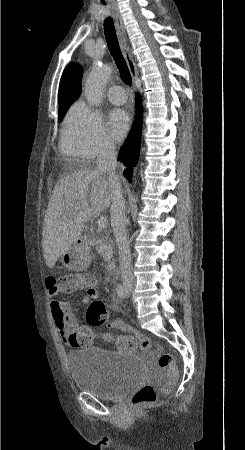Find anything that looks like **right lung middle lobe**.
Returning a JSON list of instances; mask_svg holds the SVG:
<instances>
[{"mask_svg":"<svg viewBox=\"0 0 245 450\" xmlns=\"http://www.w3.org/2000/svg\"><path fill=\"white\" fill-rule=\"evenodd\" d=\"M71 104H68L66 106H63L62 108H59V119L61 120L62 117L64 116V114L66 113V111L68 110L69 106Z\"/></svg>","mask_w":245,"mask_h":450,"instance_id":"1","label":"right lung middle lobe"}]
</instances>
